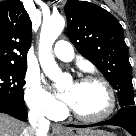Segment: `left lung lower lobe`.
Masks as SVG:
<instances>
[{
	"instance_id": "1",
	"label": "left lung lower lobe",
	"mask_w": 136,
	"mask_h": 136,
	"mask_svg": "<svg viewBox=\"0 0 136 136\" xmlns=\"http://www.w3.org/2000/svg\"><path fill=\"white\" fill-rule=\"evenodd\" d=\"M101 125H114L119 126L127 130L132 136H136V106H128L121 108L113 119L99 122L88 126H76L72 127H90Z\"/></svg>"
}]
</instances>
